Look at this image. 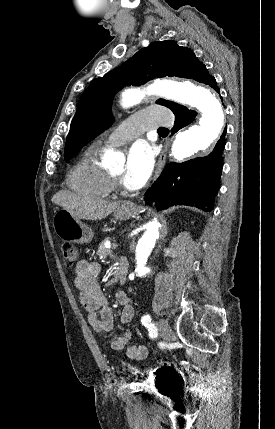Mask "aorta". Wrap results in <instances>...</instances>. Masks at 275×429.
Segmentation results:
<instances>
[{"label":"aorta","instance_id":"1","mask_svg":"<svg viewBox=\"0 0 275 429\" xmlns=\"http://www.w3.org/2000/svg\"><path fill=\"white\" fill-rule=\"evenodd\" d=\"M158 95L177 103L196 108L201 112L199 124L179 132L172 145V156L178 161L192 156L200 151L205 152L216 140L224 126L226 110L215 90L204 84L191 82H175L169 80L157 81L146 90L128 89L119 100L122 108L131 107L139 103L146 95ZM105 157L111 167L116 165L117 157L113 151H107ZM160 224L153 220L146 225V230L139 238L135 259L139 275L149 272L147 260L155 247L159 236Z\"/></svg>","mask_w":275,"mask_h":429}]
</instances>
